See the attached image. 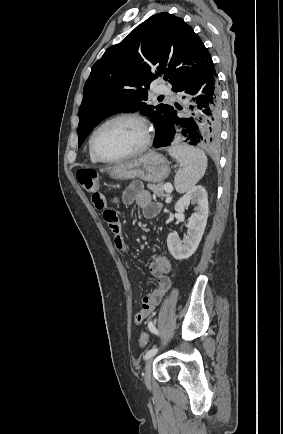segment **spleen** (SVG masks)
<instances>
[{
    "label": "spleen",
    "instance_id": "spleen-1",
    "mask_svg": "<svg viewBox=\"0 0 283 434\" xmlns=\"http://www.w3.org/2000/svg\"><path fill=\"white\" fill-rule=\"evenodd\" d=\"M169 153L180 164L174 180L176 191L185 193L192 189L205 174L207 156L200 149L188 145L172 147Z\"/></svg>",
    "mask_w": 283,
    "mask_h": 434
}]
</instances>
